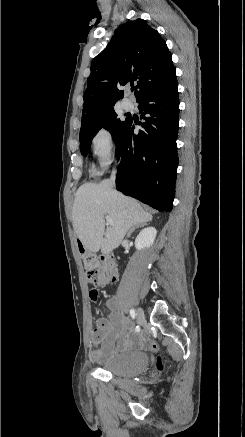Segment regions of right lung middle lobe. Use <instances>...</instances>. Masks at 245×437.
<instances>
[{"mask_svg":"<svg viewBox=\"0 0 245 437\" xmlns=\"http://www.w3.org/2000/svg\"><path fill=\"white\" fill-rule=\"evenodd\" d=\"M128 121V118L124 121L118 119L114 108H112L103 112L90 123L81 126L79 135L81 154L84 156L88 154L93 137L102 127L110 131L116 143Z\"/></svg>","mask_w":245,"mask_h":437,"instance_id":"dd1d6c3e","label":"right lung middle lobe"}]
</instances>
